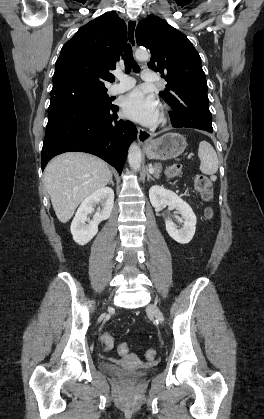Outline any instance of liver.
I'll return each mask as SVG.
<instances>
[{"label": "liver", "mask_w": 264, "mask_h": 419, "mask_svg": "<svg viewBox=\"0 0 264 419\" xmlns=\"http://www.w3.org/2000/svg\"><path fill=\"white\" fill-rule=\"evenodd\" d=\"M112 176L106 162L91 154L68 152L53 158L45 169V187L55 214L66 223L78 205L104 188Z\"/></svg>", "instance_id": "obj_1"}]
</instances>
